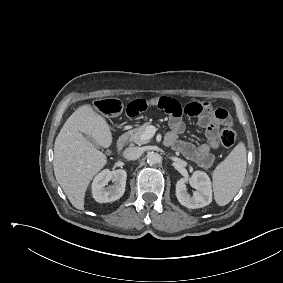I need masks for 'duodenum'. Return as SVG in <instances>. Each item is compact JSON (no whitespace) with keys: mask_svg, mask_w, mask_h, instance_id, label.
Wrapping results in <instances>:
<instances>
[{"mask_svg":"<svg viewBox=\"0 0 283 283\" xmlns=\"http://www.w3.org/2000/svg\"><path fill=\"white\" fill-rule=\"evenodd\" d=\"M129 137H130V132L126 131L118 138L117 143H116V148L119 152L124 148Z\"/></svg>","mask_w":283,"mask_h":283,"instance_id":"duodenum-1","label":"duodenum"}]
</instances>
